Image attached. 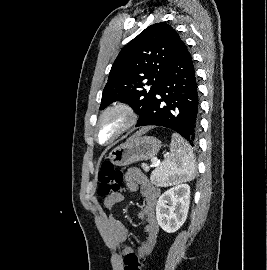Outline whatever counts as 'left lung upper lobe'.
Returning a JSON list of instances; mask_svg holds the SVG:
<instances>
[{"label":"left lung upper lobe","instance_id":"left-lung-upper-lobe-1","mask_svg":"<svg viewBox=\"0 0 267 270\" xmlns=\"http://www.w3.org/2000/svg\"><path fill=\"white\" fill-rule=\"evenodd\" d=\"M181 42L178 33L162 22L150 25L131 40L112 65L100 110L119 100L139 113L140 120L152 104Z\"/></svg>","mask_w":267,"mask_h":270}]
</instances>
